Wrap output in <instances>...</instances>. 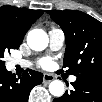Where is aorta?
Listing matches in <instances>:
<instances>
[{"label":"aorta","instance_id":"aorta-1","mask_svg":"<svg viewBox=\"0 0 102 102\" xmlns=\"http://www.w3.org/2000/svg\"><path fill=\"white\" fill-rule=\"evenodd\" d=\"M48 43V35L42 29H33L27 35V44L32 50L42 51ZM49 92L55 97H61L65 92L64 83L60 80L52 81L49 84Z\"/></svg>","mask_w":102,"mask_h":102}]
</instances>
